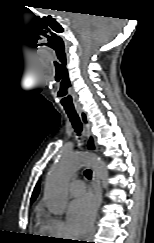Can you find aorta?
I'll return each instance as SVG.
<instances>
[{"label": "aorta", "instance_id": "1", "mask_svg": "<svg viewBox=\"0 0 154 243\" xmlns=\"http://www.w3.org/2000/svg\"><path fill=\"white\" fill-rule=\"evenodd\" d=\"M86 164L93 166L104 188L108 187V171L102 161L84 153H62L46 178L45 197L50 212L55 215L64 213L67 205V185L72 176Z\"/></svg>", "mask_w": 154, "mask_h": 243}]
</instances>
